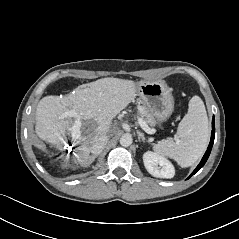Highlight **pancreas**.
<instances>
[{
  "instance_id": "cf45deb5",
  "label": "pancreas",
  "mask_w": 239,
  "mask_h": 239,
  "mask_svg": "<svg viewBox=\"0 0 239 239\" xmlns=\"http://www.w3.org/2000/svg\"><path fill=\"white\" fill-rule=\"evenodd\" d=\"M139 114L143 119L146 120V122L148 124H150L151 126L155 125V120H154L152 114L149 113L148 108H146L145 106H140L139 107Z\"/></svg>"
}]
</instances>
